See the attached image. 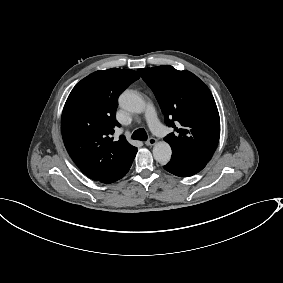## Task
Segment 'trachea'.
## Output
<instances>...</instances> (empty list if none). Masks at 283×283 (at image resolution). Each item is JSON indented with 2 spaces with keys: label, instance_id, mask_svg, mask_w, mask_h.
<instances>
[{
  "label": "trachea",
  "instance_id": "1",
  "mask_svg": "<svg viewBox=\"0 0 283 283\" xmlns=\"http://www.w3.org/2000/svg\"><path fill=\"white\" fill-rule=\"evenodd\" d=\"M132 139L146 141L148 139V135L143 128H140L133 132Z\"/></svg>",
  "mask_w": 283,
  "mask_h": 283
}]
</instances>
